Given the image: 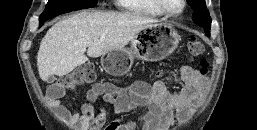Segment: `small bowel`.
<instances>
[{
	"label": "small bowel",
	"mask_w": 257,
	"mask_h": 130,
	"mask_svg": "<svg viewBox=\"0 0 257 130\" xmlns=\"http://www.w3.org/2000/svg\"><path fill=\"white\" fill-rule=\"evenodd\" d=\"M169 83L180 84L181 88L171 91ZM206 87V77L184 64L176 75L152 85L144 81H135L124 87L109 82L95 83L86 92L88 103L74 113L62 104L61 97L52 98L48 93L47 99L58 113L69 118L75 130H168L174 125L176 116L184 117L199 102ZM99 98L111 103L117 115L129 114L136 109L144 112L127 122L108 120L104 111L95 113L91 106Z\"/></svg>",
	"instance_id": "small-bowel-1"
}]
</instances>
